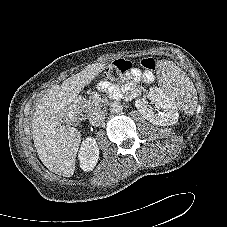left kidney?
<instances>
[{
  "instance_id": "left-kidney-1",
  "label": "left kidney",
  "mask_w": 227,
  "mask_h": 227,
  "mask_svg": "<svg viewBox=\"0 0 227 227\" xmlns=\"http://www.w3.org/2000/svg\"><path fill=\"white\" fill-rule=\"evenodd\" d=\"M148 98L151 102L155 103L156 108L161 111H158V113L155 112L145 98L137 99L135 101V107L143 118L152 124L160 126L173 125L177 123L179 113L174 102L159 88H150Z\"/></svg>"
}]
</instances>
